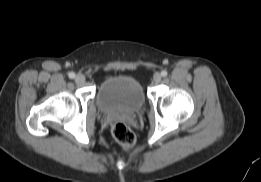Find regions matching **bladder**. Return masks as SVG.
I'll return each mask as SVG.
<instances>
[{"label": "bladder", "mask_w": 261, "mask_h": 182, "mask_svg": "<svg viewBox=\"0 0 261 182\" xmlns=\"http://www.w3.org/2000/svg\"><path fill=\"white\" fill-rule=\"evenodd\" d=\"M98 107L107 114H132L144 105V93L137 80L126 75L104 79L96 92Z\"/></svg>", "instance_id": "31cf9c89"}]
</instances>
